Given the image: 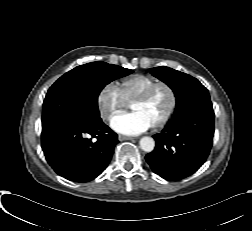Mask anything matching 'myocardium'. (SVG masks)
Returning <instances> with one entry per match:
<instances>
[{"label":"myocardium","mask_w":252,"mask_h":231,"mask_svg":"<svg viewBox=\"0 0 252 231\" xmlns=\"http://www.w3.org/2000/svg\"><path fill=\"white\" fill-rule=\"evenodd\" d=\"M160 87L167 89L170 96V103L164 116L158 122L152 125L155 129H160L167 125L176 111L178 98L174 87L167 82L158 81L133 100V102H147L152 97L154 92Z\"/></svg>","instance_id":"myocardium-1"}]
</instances>
